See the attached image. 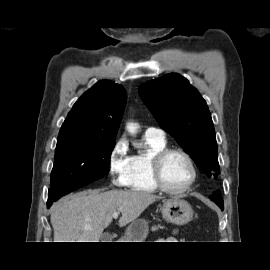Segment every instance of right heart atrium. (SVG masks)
<instances>
[{
  "label": "right heart atrium",
  "instance_id": "1",
  "mask_svg": "<svg viewBox=\"0 0 270 270\" xmlns=\"http://www.w3.org/2000/svg\"><path fill=\"white\" fill-rule=\"evenodd\" d=\"M131 166V156L126 139L115 142L108 155V173L114 186L128 185Z\"/></svg>",
  "mask_w": 270,
  "mask_h": 270
}]
</instances>
